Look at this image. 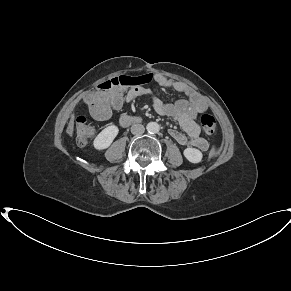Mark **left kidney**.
<instances>
[{"label":"left kidney","instance_id":"obj_1","mask_svg":"<svg viewBox=\"0 0 291 291\" xmlns=\"http://www.w3.org/2000/svg\"><path fill=\"white\" fill-rule=\"evenodd\" d=\"M183 154L185 158L191 163H199L202 161V152L196 148H186Z\"/></svg>","mask_w":291,"mask_h":291}]
</instances>
